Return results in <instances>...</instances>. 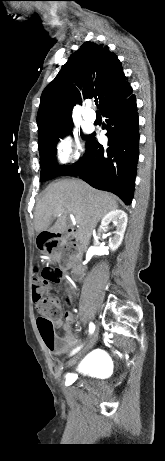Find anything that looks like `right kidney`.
I'll return each mask as SVG.
<instances>
[{
	"mask_svg": "<svg viewBox=\"0 0 165 461\" xmlns=\"http://www.w3.org/2000/svg\"><path fill=\"white\" fill-rule=\"evenodd\" d=\"M127 220V214L123 210L115 209L106 214L101 221L100 230L108 228V225L112 222L116 226V231L113 232L114 237L109 240V247L93 246L88 249L87 253L91 255H107L109 248L115 251L122 243Z\"/></svg>",
	"mask_w": 165,
	"mask_h": 461,
	"instance_id": "obj_1",
	"label": "right kidney"
}]
</instances>
